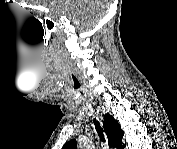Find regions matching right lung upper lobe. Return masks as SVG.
Listing matches in <instances>:
<instances>
[{"mask_svg":"<svg viewBox=\"0 0 177 149\" xmlns=\"http://www.w3.org/2000/svg\"><path fill=\"white\" fill-rule=\"evenodd\" d=\"M104 128L107 134L110 147H116L123 149L125 145H122V138L124 132L121 130L120 124L109 114H105L104 117ZM64 149H77L76 140L72 139L68 141L64 146Z\"/></svg>","mask_w":177,"mask_h":149,"instance_id":"obj_1","label":"right lung upper lobe"}]
</instances>
